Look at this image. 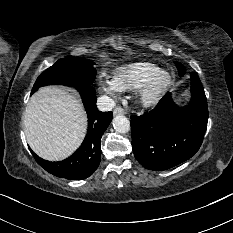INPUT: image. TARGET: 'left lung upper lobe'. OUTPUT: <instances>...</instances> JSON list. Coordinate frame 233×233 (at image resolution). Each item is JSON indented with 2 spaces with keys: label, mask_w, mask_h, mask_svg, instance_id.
Segmentation results:
<instances>
[{
  "label": "left lung upper lobe",
  "mask_w": 233,
  "mask_h": 233,
  "mask_svg": "<svg viewBox=\"0 0 233 233\" xmlns=\"http://www.w3.org/2000/svg\"><path fill=\"white\" fill-rule=\"evenodd\" d=\"M175 64H176V66L178 68L179 75L183 76L185 74V71H186L185 67L181 63H179V62H175Z\"/></svg>",
  "instance_id": "1"
}]
</instances>
